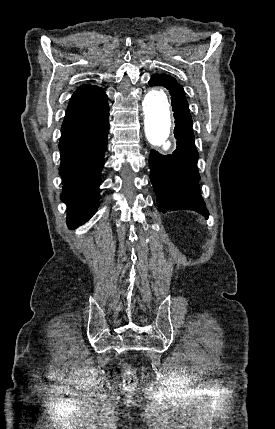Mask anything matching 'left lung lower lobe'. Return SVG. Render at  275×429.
I'll return each mask as SVG.
<instances>
[{"mask_svg":"<svg viewBox=\"0 0 275 429\" xmlns=\"http://www.w3.org/2000/svg\"><path fill=\"white\" fill-rule=\"evenodd\" d=\"M149 85H159L169 90L175 118L174 136L177 139L173 154L162 155L155 150L150 152V179L157 195L158 209L161 212L194 210L208 217L198 184V152L184 90L174 78L165 74L152 76Z\"/></svg>","mask_w":275,"mask_h":429,"instance_id":"obj_1","label":"left lung lower lobe"}]
</instances>
